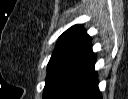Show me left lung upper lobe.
Returning a JSON list of instances; mask_svg holds the SVG:
<instances>
[{
  "label": "left lung upper lobe",
  "instance_id": "obj_1",
  "mask_svg": "<svg viewBox=\"0 0 128 99\" xmlns=\"http://www.w3.org/2000/svg\"><path fill=\"white\" fill-rule=\"evenodd\" d=\"M90 40L82 25H75L65 31L59 38L56 48L47 66L44 88L46 92L57 70Z\"/></svg>",
  "mask_w": 128,
  "mask_h": 99
}]
</instances>
